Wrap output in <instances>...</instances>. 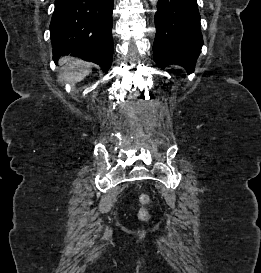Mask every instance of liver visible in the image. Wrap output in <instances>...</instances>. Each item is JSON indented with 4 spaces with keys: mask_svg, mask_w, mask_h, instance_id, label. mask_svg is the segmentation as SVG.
Instances as JSON below:
<instances>
[{
    "mask_svg": "<svg viewBox=\"0 0 261 273\" xmlns=\"http://www.w3.org/2000/svg\"><path fill=\"white\" fill-rule=\"evenodd\" d=\"M60 63L66 67V71L63 74L64 79L72 84L80 82L90 73L87 69L88 64L79 59L66 57L61 59Z\"/></svg>",
    "mask_w": 261,
    "mask_h": 273,
    "instance_id": "liver-1",
    "label": "liver"
}]
</instances>
